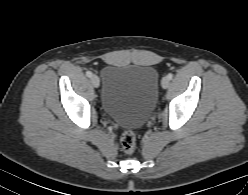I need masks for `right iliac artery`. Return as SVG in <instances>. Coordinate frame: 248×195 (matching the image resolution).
<instances>
[{
  "mask_svg": "<svg viewBox=\"0 0 248 195\" xmlns=\"http://www.w3.org/2000/svg\"><path fill=\"white\" fill-rule=\"evenodd\" d=\"M92 75H93V74H92V72H91V71H87V72H86V76H87V77H89V78H90V77H92Z\"/></svg>",
  "mask_w": 248,
  "mask_h": 195,
  "instance_id": "1",
  "label": "right iliac artery"
}]
</instances>
